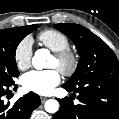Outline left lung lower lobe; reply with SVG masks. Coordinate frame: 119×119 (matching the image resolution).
Wrapping results in <instances>:
<instances>
[{
    "label": "left lung lower lobe",
    "instance_id": "0a47b994",
    "mask_svg": "<svg viewBox=\"0 0 119 119\" xmlns=\"http://www.w3.org/2000/svg\"><path fill=\"white\" fill-rule=\"evenodd\" d=\"M77 92L79 104L66 97L58 99L60 109L53 119H119V80L101 79L78 87L62 85ZM73 95V94H72Z\"/></svg>",
    "mask_w": 119,
    "mask_h": 119
}]
</instances>
